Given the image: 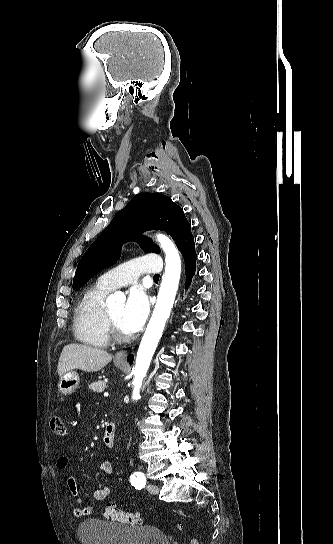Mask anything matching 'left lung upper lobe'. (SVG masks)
<instances>
[{
  "instance_id": "left-lung-upper-lobe-1",
  "label": "left lung upper lobe",
  "mask_w": 333,
  "mask_h": 544,
  "mask_svg": "<svg viewBox=\"0 0 333 544\" xmlns=\"http://www.w3.org/2000/svg\"><path fill=\"white\" fill-rule=\"evenodd\" d=\"M147 230H162L170 234L183 257L195 248L191 226L178 205L163 194H138L115 215L85 252L77 266L73 289L78 290L94 274L113 265L126 241H137L145 252L160 253L159 246L150 238L141 236Z\"/></svg>"
}]
</instances>
